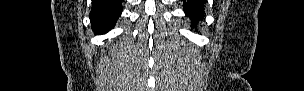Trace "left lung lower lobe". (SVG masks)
Masks as SVG:
<instances>
[{
  "mask_svg": "<svg viewBox=\"0 0 304 91\" xmlns=\"http://www.w3.org/2000/svg\"><path fill=\"white\" fill-rule=\"evenodd\" d=\"M204 3L205 1L203 0H184L183 10L185 14L191 18V21L194 23V28H196L197 22L204 18Z\"/></svg>",
  "mask_w": 304,
  "mask_h": 91,
  "instance_id": "0a47b994",
  "label": "left lung lower lobe"
}]
</instances>
